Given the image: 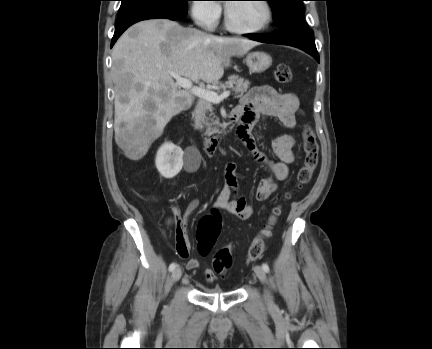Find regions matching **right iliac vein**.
Masks as SVG:
<instances>
[{
    "label": "right iliac vein",
    "instance_id": "right-iliac-vein-1",
    "mask_svg": "<svg viewBox=\"0 0 432 349\" xmlns=\"http://www.w3.org/2000/svg\"><path fill=\"white\" fill-rule=\"evenodd\" d=\"M181 276H182V270H181L180 267H177L172 272V276H171L172 277V281L173 282L179 281V279L181 278Z\"/></svg>",
    "mask_w": 432,
    "mask_h": 349
}]
</instances>
